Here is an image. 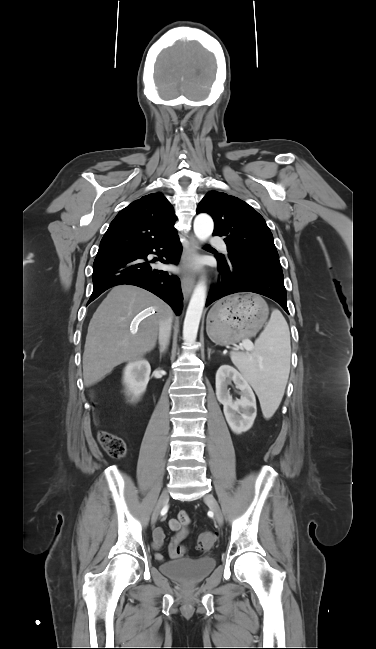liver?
Here are the masks:
<instances>
[{
    "label": "liver",
    "mask_w": 376,
    "mask_h": 649,
    "mask_svg": "<svg viewBox=\"0 0 376 649\" xmlns=\"http://www.w3.org/2000/svg\"><path fill=\"white\" fill-rule=\"evenodd\" d=\"M171 315V308L145 289L134 285L113 287L88 326L83 354L84 385L92 386L115 366L151 351L162 320Z\"/></svg>",
    "instance_id": "6515ba94"
}]
</instances>
